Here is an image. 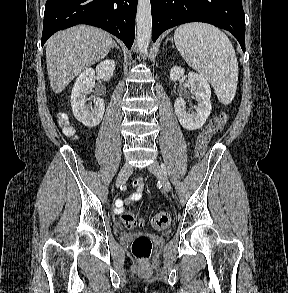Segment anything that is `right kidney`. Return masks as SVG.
<instances>
[{
    "label": "right kidney",
    "instance_id": "right-kidney-1",
    "mask_svg": "<svg viewBox=\"0 0 288 293\" xmlns=\"http://www.w3.org/2000/svg\"><path fill=\"white\" fill-rule=\"evenodd\" d=\"M115 69L114 60H105L96 66V69L88 68L77 77L71 92V106L75 118L87 127L97 126L104 115L105 103L100 97L94 101V107H89L86 102L87 94L94 86V78L97 74L103 81H109Z\"/></svg>",
    "mask_w": 288,
    "mask_h": 293
}]
</instances>
